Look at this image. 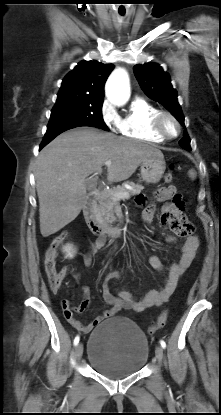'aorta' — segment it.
Instances as JSON below:
<instances>
[{"label":"aorta","instance_id":"762f6f07","mask_svg":"<svg viewBox=\"0 0 221 415\" xmlns=\"http://www.w3.org/2000/svg\"><path fill=\"white\" fill-rule=\"evenodd\" d=\"M105 93L107 99L114 105L123 106L130 98L129 77L125 69L117 68L109 76Z\"/></svg>","mask_w":221,"mask_h":415}]
</instances>
